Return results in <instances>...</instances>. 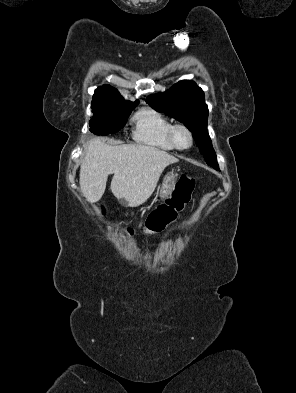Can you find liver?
Listing matches in <instances>:
<instances>
[{
  "mask_svg": "<svg viewBox=\"0 0 296 393\" xmlns=\"http://www.w3.org/2000/svg\"><path fill=\"white\" fill-rule=\"evenodd\" d=\"M178 159L156 147L141 144L113 146L91 139L80 168V189L88 202L101 199L108 175L111 191L128 206L142 205L154 192L163 170Z\"/></svg>",
  "mask_w": 296,
  "mask_h": 393,
  "instance_id": "1",
  "label": "liver"
}]
</instances>
